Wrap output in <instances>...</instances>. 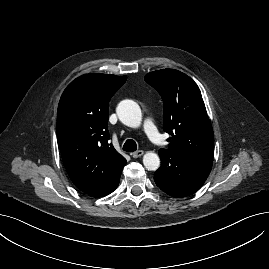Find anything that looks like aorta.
<instances>
[{
    "instance_id": "aorta-1",
    "label": "aorta",
    "mask_w": 269,
    "mask_h": 269,
    "mask_svg": "<svg viewBox=\"0 0 269 269\" xmlns=\"http://www.w3.org/2000/svg\"><path fill=\"white\" fill-rule=\"evenodd\" d=\"M119 120L126 126L136 128L141 124L142 113L139 105L132 100H123L117 106ZM143 164L147 170L155 171L160 166L159 156L150 151L143 156Z\"/></svg>"
}]
</instances>
